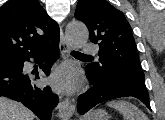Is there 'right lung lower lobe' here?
Returning <instances> with one entry per match:
<instances>
[{"instance_id": "1", "label": "right lung lower lobe", "mask_w": 165, "mask_h": 120, "mask_svg": "<svg viewBox=\"0 0 165 120\" xmlns=\"http://www.w3.org/2000/svg\"><path fill=\"white\" fill-rule=\"evenodd\" d=\"M58 57L59 39L36 53L0 67V96H6L23 103L40 120H50L52 110L58 104V97L52 93L48 86L44 89L36 87L33 78L23 73V66L25 61L34 58L42 70L49 75L52 64Z\"/></svg>"}]
</instances>
